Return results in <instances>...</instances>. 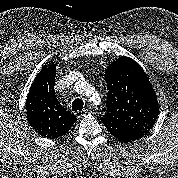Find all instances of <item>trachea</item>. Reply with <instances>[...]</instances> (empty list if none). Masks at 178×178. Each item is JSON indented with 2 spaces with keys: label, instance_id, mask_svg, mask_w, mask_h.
<instances>
[{
  "label": "trachea",
  "instance_id": "1",
  "mask_svg": "<svg viewBox=\"0 0 178 178\" xmlns=\"http://www.w3.org/2000/svg\"><path fill=\"white\" fill-rule=\"evenodd\" d=\"M83 101L81 99H75L72 103L73 111H81L83 109Z\"/></svg>",
  "mask_w": 178,
  "mask_h": 178
}]
</instances>
